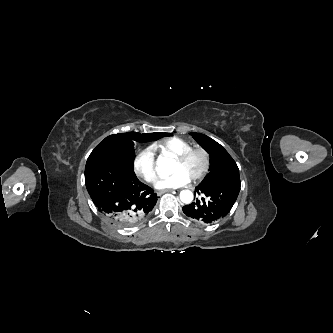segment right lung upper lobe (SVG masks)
Listing matches in <instances>:
<instances>
[{"label": "right lung upper lobe", "instance_id": "right-lung-upper-lobe-1", "mask_svg": "<svg viewBox=\"0 0 333 333\" xmlns=\"http://www.w3.org/2000/svg\"><path fill=\"white\" fill-rule=\"evenodd\" d=\"M134 133H136V132H134ZM136 134H139V133H136ZM156 134H157V133H150V134H139V135L153 137V136H155Z\"/></svg>", "mask_w": 333, "mask_h": 333}]
</instances>
